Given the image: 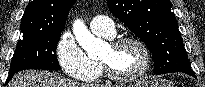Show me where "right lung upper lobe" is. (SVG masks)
I'll return each instance as SVG.
<instances>
[{"label":"right lung upper lobe","instance_id":"right-lung-upper-lobe-1","mask_svg":"<svg viewBox=\"0 0 205 87\" xmlns=\"http://www.w3.org/2000/svg\"><path fill=\"white\" fill-rule=\"evenodd\" d=\"M76 0H33L21 19V32L62 31L69 10Z\"/></svg>","mask_w":205,"mask_h":87}]
</instances>
